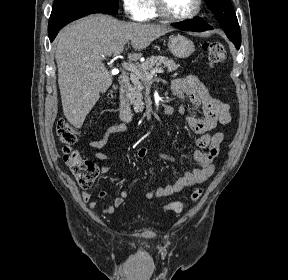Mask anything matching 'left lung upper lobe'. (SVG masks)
I'll use <instances>...</instances> for the list:
<instances>
[{
    "label": "left lung upper lobe",
    "instance_id": "left-lung-upper-lobe-1",
    "mask_svg": "<svg viewBox=\"0 0 288 280\" xmlns=\"http://www.w3.org/2000/svg\"><path fill=\"white\" fill-rule=\"evenodd\" d=\"M210 11L215 15L220 27L229 40L241 44V32L238 20L230 0H204Z\"/></svg>",
    "mask_w": 288,
    "mask_h": 280
}]
</instances>
